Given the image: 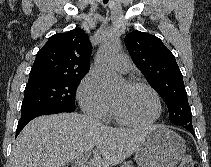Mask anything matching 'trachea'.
Listing matches in <instances>:
<instances>
[{
	"instance_id": "1",
	"label": "trachea",
	"mask_w": 211,
	"mask_h": 167,
	"mask_svg": "<svg viewBox=\"0 0 211 167\" xmlns=\"http://www.w3.org/2000/svg\"><path fill=\"white\" fill-rule=\"evenodd\" d=\"M108 1H109V0H103V3L106 4V3H108Z\"/></svg>"
}]
</instances>
